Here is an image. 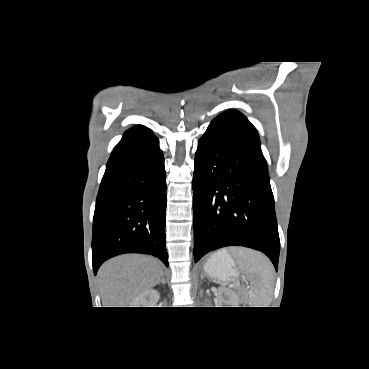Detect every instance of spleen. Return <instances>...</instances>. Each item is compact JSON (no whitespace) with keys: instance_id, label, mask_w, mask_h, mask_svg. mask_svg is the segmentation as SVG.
Returning a JSON list of instances; mask_svg holds the SVG:
<instances>
[{"instance_id":"3e777b00","label":"spleen","mask_w":369,"mask_h":369,"mask_svg":"<svg viewBox=\"0 0 369 369\" xmlns=\"http://www.w3.org/2000/svg\"><path fill=\"white\" fill-rule=\"evenodd\" d=\"M241 269L250 277L251 307H268L271 302L274 286V268L269 259L260 252L239 248L232 252Z\"/></svg>"}]
</instances>
